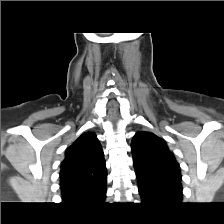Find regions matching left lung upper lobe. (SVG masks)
Segmentation results:
<instances>
[{
  "mask_svg": "<svg viewBox=\"0 0 224 224\" xmlns=\"http://www.w3.org/2000/svg\"><path fill=\"white\" fill-rule=\"evenodd\" d=\"M131 148L135 171L142 176L181 181L179 164L163 139L150 132H137Z\"/></svg>",
  "mask_w": 224,
  "mask_h": 224,
  "instance_id": "obj_1",
  "label": "left lung upper lobe"
}]
</instances>
